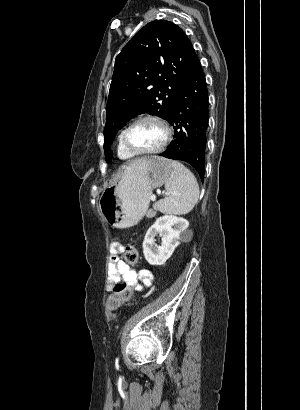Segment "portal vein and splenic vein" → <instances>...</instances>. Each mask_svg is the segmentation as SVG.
<instances>
[{
    "instance_id": "18ae733b",
    "label": "portal vein and splenic vein",
    "mask_w": 300,
    "mask_h": 410,
    "mask_svg": "<svg viewBox=\"0 0 300 410\" xmlns=\"http://www.w3.org/2000/svg\"><path fill=\"white\" fill-rule=\"evenodd\" d=\"M150 199L154 201V200L156 199V196H155L154 194H152V195L150 196Z\"/></svg>"
}]
</instances>
